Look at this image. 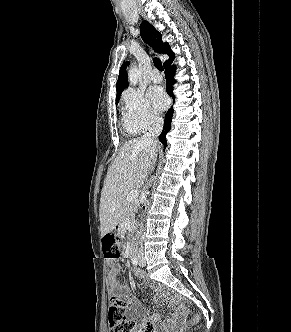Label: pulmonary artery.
Listing matches in <instances>:
<instances>
[{
	"label": "pulmonary artery",
	"instance_id": "1",
	"mask_svg": "<svg viewBox=\"0 0 291 332\" xmlns=\"http://www.w3.org/2000/svg\"><path fill=\"white\" fill-rule=\"evenodd\" d=\"M151 80L154 83H160L162 81V76L159 74L158 71H153L151 74Z\"/></svg>",
	"mask_w": 291,
	"mask_h": 332
}]
</instances>
